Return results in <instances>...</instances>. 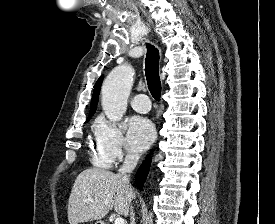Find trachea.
Here are the masks:
<instances>
[{
  "mask_svg": "<svg viewBox=\"0 0 275 224\" xmlns=\"http://www.w3.org/2000/svg\"><path fill=\"white\" fill-rule=\"evenodd\" d=\"M159 51L151 44H147L145 59V75L149 91L153 98L160 101L161 81L159 76Z\"/></svg>",
  "mask_w": 275,
  "mask_h": 224,
  "instance_id": "1",
  "label": "trachea"
}]
</instances>
